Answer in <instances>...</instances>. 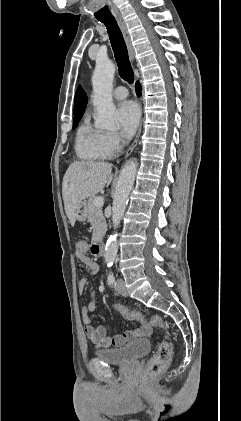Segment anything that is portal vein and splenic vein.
Masks as SVG:
<instances>
[{
	"label": "portal vein and splenic vein",
	"instance_id": "obj_1",
	"mask_svg": "<svg viewBox=\"0 0 241 421\" xmlns=\"http://www.w3.org/2000/svg\"><path fill=\"white\" fill-rule=\"evenodd\" d=\"M93 203L97 207H102L104 205V199H103V197H96V198H94Z\"/></svg>",
	"mask_w": 241,
	"mask_h": 421
}]
</instances>
